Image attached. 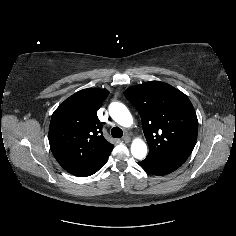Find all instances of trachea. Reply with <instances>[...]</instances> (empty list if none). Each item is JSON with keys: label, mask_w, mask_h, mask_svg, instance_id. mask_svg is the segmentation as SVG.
<instances>
[{"label": "trachea", "mask_w": 236, "mask_h": 236, "mask_svg": "<svg viewBox=\"0 0 236 236\" xmlns=\"http://www.w3.org/2000/svg\"><path fill=\"white\" fill-rule=\"evenodd\" d=\"M111 135L114 138H121L123 136V131L119 127H113L111 129Z\"/></svg>", "instance_id": "obj_1"}]
</instances>
